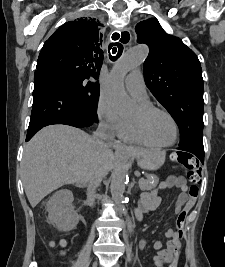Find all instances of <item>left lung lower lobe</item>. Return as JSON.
Here are the masks:
<instances>
[{
    "label": "left lung lower lobe",
    "mask_w": 225,
    "mask_h": 267,
    "mask_svg": "<svg viewBox=\"0 0 225 267\" xmlns=\"http://www.w3.org/2000/svg\"><path fill=\"white\" fill-rule=\"evenodd\" d=\"M180 150L187 151L191 154L189 155H195L198 157L199 161L204 164V147H203V141H194L192 143L179 146Z\"/></svg>",
    "instance_id": "obj_1"
}]
</instances>
